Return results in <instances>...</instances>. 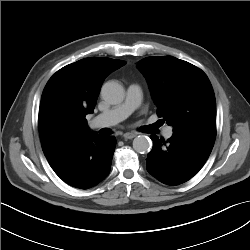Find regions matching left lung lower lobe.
I'll list each match as a JSON object with an SVG mask.
<instances>
[{"instance_id": "1", "label": "left lung lower lobe", "mask_w": 250, "mask_h": 250, "mask_svg": "<svg viewBox=\"0 0 250 250\" xmlns=\"http://www.w3.org/2000/svg\"><path fill=\"white\" fill-rule=\"evenodd\" d=\"M214 132H173L167 141L152 135L148 172L167 185H179L192 178L204 165L213 148Z\"/></svg>"}]
</instances>
